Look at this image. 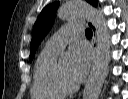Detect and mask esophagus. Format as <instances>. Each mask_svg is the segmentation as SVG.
Wrapping results in <instances>:
<instances>
[{
	"mask_svg": "<svg viewBox=\"0 0 128 99\" xmlns=\"http://www.w3.org/2000/svg\"><path fill=\"white\" fill-rule=\"evenodd\" d=\"M84 22L91 28L92 32H93V37H92V46L94 48V51L97 52L98 49V32H97V27L96 25L93 23L92 20L84 18L83 19Z\"/></svg>",
	"mask_w": 128,
	"mask_h": 99,
	"instance_id": "1",
	"label": "esophagus"
}]
</instances>
